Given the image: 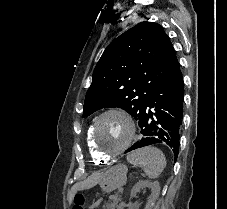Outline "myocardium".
Listing matches in <instances>:
<instances>
[{
  "instance_id": "myocardium-1",
  "label": "myocardium",
  "mask_w": 227,
  "mask_h": 209,
  "mask_svg": "<svg viewBox=\"0 0 227 209\" xmlns=\"http://www.w3.org/2000/svg\"><path fill=\"white\" fill-rule=\"evenodd\" d=\"M112 113L120 114L129 122L130 127H131V135H130L128 141L121 148H119L115 151L107 152L101 148V146L99 145V143L97 141V128H98V125L101 122V120L105 116L112 114ZM136 135H137V128H136V124L134 123L132 117L129 115L128 112H126L125 110L120 109V108H110V109L105 110L101 114H99L93 121L92 128H91V140L95 147V150L102 158H105V159L114 158V157L119 156L121 153H123L126 150V148L130 145L132 139Z\"/></svg>"
}]
</instances>
